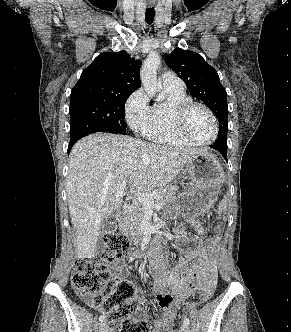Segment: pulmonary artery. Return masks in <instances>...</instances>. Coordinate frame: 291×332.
Wrapping results in <instances>:
<instances>
[{"instance_id":"obj_1","label":"pulmonary artery","mask_w":291,"mask_h":332,"mask_svg":"<svg viewBox=\"0 0 291 332\" xmlns=\"http://www.w3.org/2000/svg\"><path fill=\"white\" fill-rule=\"evenodd\" d=\"M162 84L165 90L176 92L185 91L184 82L173 72L167 71L162 75Z\"/></svg>"}]
</instances>
